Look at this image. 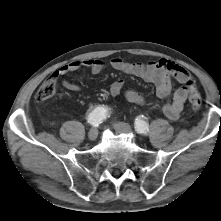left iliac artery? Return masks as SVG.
Masks as SVG:
<instances>
[{
	"label": "left iliac artery",
	"instance_id": "left-iliac-artery-1",
	"mask_svg": "<svg viewBox=\"0 0 221 221\" xmlns=\"http://www.w3.org/2000/svg\"><path fill=\"white\" fill-rule=\"evenodd\" d=\"M134 128L137 133L147 135L149 132V125L141 118H136Z\"/></svg>",
	"mask_w": 221,
	"mask_h": 221
}]
</instances>
